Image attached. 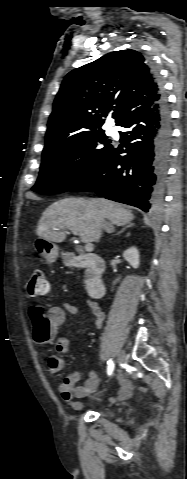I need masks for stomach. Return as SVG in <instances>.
<instances>
[{
	"mask_svg": "<svg viewBox=\"0 0 187 479\" xmlns=\"http://www.w3.org/2000/svg\"><path fill=\"white\" fill-rule=\"evenodd\" d=\"M34 247L36 251L39 253L41 260L46 263L50 264L56 260L59 254V248L56 244L51 241H48L44 238H37L34 242Z\"/></svg>",
	"mask_w": 187,
	"mask_h": 479,
	"instance_id": "0dacf381",
	"label": "stomach"
}]
</instances>
